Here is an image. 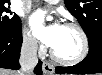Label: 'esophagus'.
Instances as JSON below:
<instances>
[{
  "label": "esophagus",
  "instance_id": "esophagus-1",
  "mask_svg": "<svg viewBox=\"0 0 102 75\" xmlns=\"http://www.w3.org/2000/svg\"><path fill=\"white\" fill-rule=\"evenodd\" d=\"M43 72L46 75H53L54 74V66L51 65L49 62L44 61L42 66Z\"/></svg>",
  "mask_w": 102,
  "mask_h": 75
}]
</instances>
